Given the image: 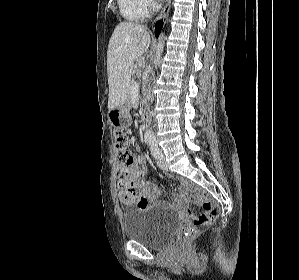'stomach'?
<instances>
[{
	"label": "stomach",
	"mask_w": 299,
	"mask_h": 280,
	"mask_svg": "<svg viewBox=\"0 0 299 280\" xmlns=\"http://www.w3.org/2000/svg\"><path fill=\"white\" fill-rule=\"evenodd\" d=\"M108 119L113 127L116 129H125L131 124V117L129 114V106L123 103L117 108L110 110Z\"/></svg>",
	"instance_id": "0dacf381"
}]
</instances>
